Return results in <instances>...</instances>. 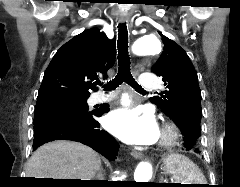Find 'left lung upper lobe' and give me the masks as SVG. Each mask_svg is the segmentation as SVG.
<instances>
[{
    "mask_svg": "<svg viewBox=\"0 0 240 187\" xmlns=\"http://www.w3.org/2000/svg\"><path fill=\"white\" fill-rule=\"evenodd\" d=\"M164 51L151 70L163 77L167 90L152 97L155 103L181 130L193 131L199 147L201 91L195 68L186 52L173 40L159 32Z\"/></svg>",
    "mask_w": 240,
    "mask_h": 187,
    "instance_id": "left-lung-upper-lobe-1",
    "label": "left lung upper lobe"
}]
</instances>
